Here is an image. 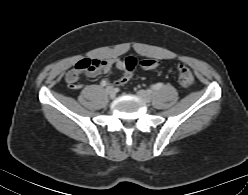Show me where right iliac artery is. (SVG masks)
I'll list each match as a JSON object with an SVG mask.
<instances>
[{
  "instance_id": "1",
  "label": "right iliac artery",
  "mask_w": 248,
  "mask_h": 195,
  "mask_svg": "<svg viewBox=\"0 0 248 195\" xmlns=\"http://www.w3.org/2000/svg\"><path fill=\"white\" fill-rule=\"evenodd\" d=\"M101 85H102V86H106V85H107V82H106L105 80H102V81H101Z\"/></svg>"
}]
</instances>
